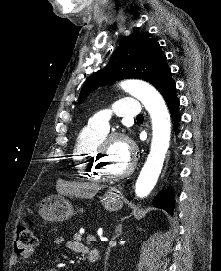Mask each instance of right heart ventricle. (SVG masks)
Instances as JSON below:
<instances>
[{"label": "right heart ventricle", "instance_id": "1", "mask_svg": "<svg viewBox=\"0 0 221 271\" xmlns=\"http://www.w3.org/2000/svg\"><path fill=\"white\" fill-rule=\"evenodd\" d=\"M98 144H108L106 136L97 134L89 139L78 138L75 149L82 154H75L73 164H81L75 166L79 179H101V174L96 173L98 165L94 164L93 159L96 158Z\"/></svg>", "mask_w": 221, "mask_h": 271}]
</instances>
